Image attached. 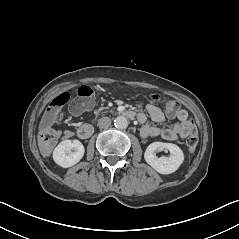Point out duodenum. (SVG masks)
<instances>
[{"label":"duodenum","instance_id":"obj_1","mask_svg":"<svg viewBox=\"0 0 239 239\" xmlns=\"http://www.w3.org/2000/svg\"><path fill=\"white\" fill-rule=\"evenodd\" d=\"M124 114L130 119H134L136 117V114L133 111L128 110L125 111ZM93 131V126L91 124L85 123L78 128L77 133L80 138L86 139L92 135Z\"/></svg>","mask_w":239,"mask_h":239}]
</instances>
